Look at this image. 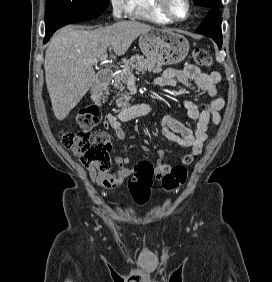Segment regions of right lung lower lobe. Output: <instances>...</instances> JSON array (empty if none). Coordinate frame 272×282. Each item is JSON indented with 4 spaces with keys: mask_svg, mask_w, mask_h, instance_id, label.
I'll list each match as a JSON object with an SVG mask.
<instances>
[{
    "mask_svg": "<svg viewBox=\"0 0 272 282\" xmlns=\"http://www.w3.org/2000/svg\"><path fill=\"white\" fill-rule=\"evenodd\" d=\"M102 11L98 10H83L74 13L62 14L55 16L49 20H46L45 29L46 36L44 39V43L48 42L53 33L59 28L69 24L80 21L89 20L99 16Z\"/></svg>",
    "mask_w": 272,
    "mask_h": 282,
    "instance_id": "right-lung-lower-lobe-1",
    "label": "right lung lower lobe"
}]
</instances>
